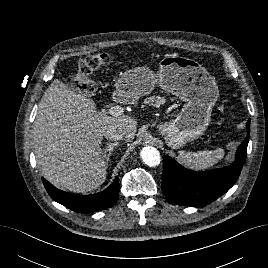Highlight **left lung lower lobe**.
<instances>
[{"instance_id":"obj_1","label":"left lung lower lobe","mask_w":268,"mask_h":268,"mask_svg":"<svg viewBox=\"0 0 268 268\" xmlns=\"http://www.w3.org/2000/svg\"><path fill=\"white\" fill-rule=\"evenodd\" d=\"M248 135L240 144L231 166L205 172L188 170L169 157L163 158L162 192L172 202L184 206L207 205L226 193L238 179L247 155Z\"/></svg>"}]
</instances>
